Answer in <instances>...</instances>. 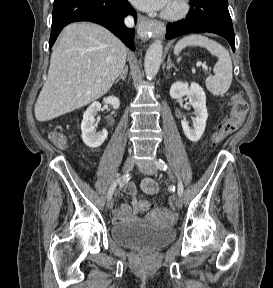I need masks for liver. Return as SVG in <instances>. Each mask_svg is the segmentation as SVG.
<instances>
[{
	"instance_id": "6515ba94",
	"label": "liver",
	"mask_w": 273,
	"mask_h": 288,
	"mask_svg": "<svg viewBox=\"0 0 273 288\" xmlns=\"http://www.w3.org/2000/svg\"><path fill=\"white\" fill-rule=\"evenodd\" d=\"M126 46L93 23L66 26L50 59L34 111L39 122L79 109L105 95L126 62Z\"/></svg>"
}]
</instances>
